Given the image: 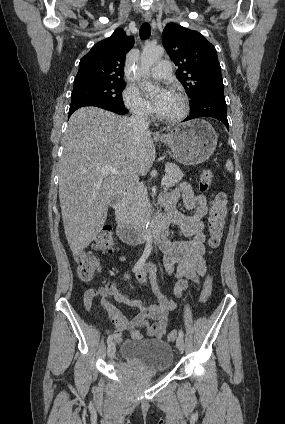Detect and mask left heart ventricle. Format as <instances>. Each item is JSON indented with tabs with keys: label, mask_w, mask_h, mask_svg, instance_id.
<instances>
[{
	"label": "left heart ventricle",
	"mask_w": 285,
	"mask_h": 424,
	"mask_svg": "<svg viewBox=\"0 0 285 424\" xmlns=\"http://www.w3.org/2000/svg\"><path fill=\"white\" fill-rule=\"evenodd\" d=\"M182 107L181 99L175 94H172L162 111L159 112V115L162 117H174L182 111Z\"/></svg>",
	"instance_id": "left-heart-ventricle-1"
}]
</instances>
